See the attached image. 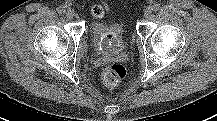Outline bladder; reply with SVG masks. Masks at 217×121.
Returning <instances> with one entry per match:
<instances>
[{"instance_id": "obj_1", "label": "bladder", "mask_w": 217, "mask_h": 121, "mask_svg": "<svg viewBox=\"0 0 217 121\" xmlns=\"http://www.w3.org/2000/svg\"><path fill=\"white\" fill-rule=\"evenodd\" d=\"M91 34L99 53L115 55L124 51L126 47L124 27L119 21H95L91 27Z\"/></svg>"}]
</instances>
